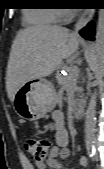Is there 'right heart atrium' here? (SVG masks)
Returning a JSON list of instances; mask_svg holds the SVG:
<instances>
[{
	"instance_id": "right-heart-atrium-1",
	"label": "right heart atrium",
	"mask_w": 104,
	"mask_h": 169,
	"mask_svg": "<svg viewBox=\"0 0 104 169\" xmlns=\"http://www.w3.org/2000/svg\"><path fill=\"white\" fill-rule=\"evenodd\" d=\"M61 12V17H66L68 15V10H62Z\"/></svg>"
}]
</instances>
